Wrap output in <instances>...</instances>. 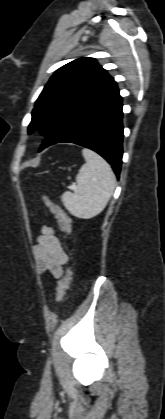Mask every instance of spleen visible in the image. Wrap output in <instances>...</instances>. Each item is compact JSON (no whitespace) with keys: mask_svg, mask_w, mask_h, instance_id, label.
<instances>
[{"mask_svg":"<svg viewBox=\"0 0 165 419\" xmlns=\"http://www.w3.org/2000/svg\"><path fill=\"white\" fill-rule=\"evenodd\" d=\"M82 154L86 163L77 176L74 193L65 192L62 202L75 217L90 219L106 207L115 188V175L109 164L96 152L84 148Z\"/></svg>","mask_w":165,"mask_h":419,"instance_id":"3e777b00","label":"spleen"}]
</instances>
